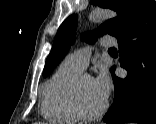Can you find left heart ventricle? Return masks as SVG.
Listing matches in <instances>:
<instances>
[{
  "mask_svg": "<svg viewBox=\"0 0 156 124\" xmlns=\"http://www.w3.org/2000/svg\"><path fill=\"white\" fill-rule=\"evenodd\" d=\"M79 96L82 108L88 113L98 111L105 102L91 78H84L82 80Z\"/></svg>",
  "mask_w": 156,
  "mask_h": 124,
  "instance_id": "obj_1",
  "label": "left heart ventricle"
}]
</instances>
